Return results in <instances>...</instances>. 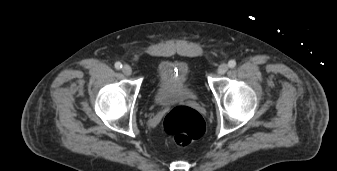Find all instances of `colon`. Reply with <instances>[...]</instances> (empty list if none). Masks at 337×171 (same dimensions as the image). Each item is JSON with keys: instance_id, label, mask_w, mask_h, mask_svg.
Here are the masks:
<instances>
[{"instance_id": "5ec220e1", "label": "colon", "mask_w": 337, "mask_h": 171, "mask_svg": "<svg viewBox=\"0 0 337 171\" xmlns=\"http://www.w3.org/2000/svg\"><path fill=\"white\" fill-rule=\"evenodd\" d=\"M163 130L178 144L186 145L204 135L205 121L197 111L180 106L166 115Z\"/></svg>"}]
</instances>
